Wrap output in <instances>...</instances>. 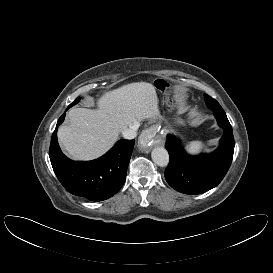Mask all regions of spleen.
<instances>
[{
    "label": "spleen",
    "instance_id": "spleen-1",
    "mask_svg": "<svg viewBox=\"0 0 273 273\" xmlns=\"http://www.w3.org/2000/svg\"><path fill=\"white\" fill-rule=\"evenodd\" d=\"M204 143L201 141H191L187 144L186 150L190 154H198L201 152V150L204 148Z\"/></svg>",
    "mask_w": 273,
    "mask_h": 273
}]
</instances>
